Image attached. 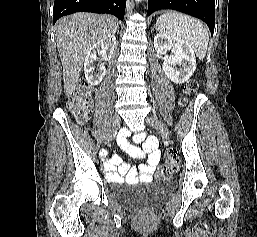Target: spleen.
<instances>
[{
    "instance_id": "1",
    "label": "spleen",
    "mask_w": 257,
    "mask_h": 237,
    "mask_svg": "<svg viewBox=\"0 0 257 237\" xmlns=\"http://www.w3.org/2000/svg\"><path fill=\"white\" fill-rule=\"evenodd\" d=\"M156 27L161 33L178 37L189 43L199 59L205 57L209 35L200 21L180 13L168 12L157 19Z\"/></svg>"
}]
</instances>
